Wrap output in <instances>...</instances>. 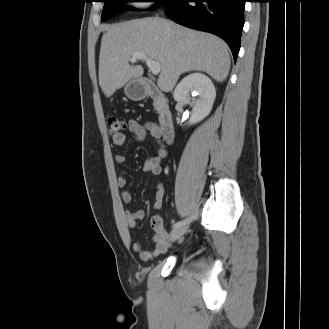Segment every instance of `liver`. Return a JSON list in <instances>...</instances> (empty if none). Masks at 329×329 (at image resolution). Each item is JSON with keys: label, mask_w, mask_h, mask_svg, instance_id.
I'll return each mask as SVG.
<instances>
[{"label": "liver", "mask_w": 329, "mask_h": 329, "mask_svg": "<svg viewBox=\"0 0 329 329\" xmlns=\"http://www.w3.org/2000/svg\"><path fill=\"white\" fill-rule=\"evenodd\" d=\"M105 30L99 56V85L108 98L127 82L142 78L143 67L129 65L134 53H143L160 63L157 85L165 92L171 91L186 72L202 71L218 82L228 76V46L209 33L159 17L117 23Z\"/></svg>", "instance_id": "6515ba94"}]
</instances>
